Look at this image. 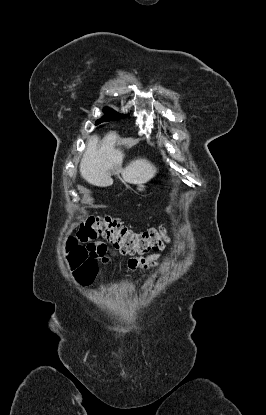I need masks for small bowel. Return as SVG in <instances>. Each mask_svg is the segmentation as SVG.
<instances>
[{"label": "small bowel", "mask_w": 266, "mask_h": 415, "mask_svg": "<svg viewBox=\"0 0 266 415\" xmlns=\"http://www.w3.org/2000/svg\"><path fill=\"white\" fill-rule=\"evenodd\" d=\"M91 253L101 263L108 264L115 261L117 252L103 242H93L87 245ZM163 255L160 252H154L147 256H138L127 261V267L130 271L147 270L157 267L161 263Z\"/></svg>", "instance_id": "c3829d8e"}]
</instances>
